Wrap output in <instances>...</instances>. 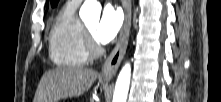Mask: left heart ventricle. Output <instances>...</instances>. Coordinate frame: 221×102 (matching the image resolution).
Listing matches in <instances>:
<instances>
[{
    "mask_svg": "<svg viewBox=\"0 0 221 102\" xmlns=\"http://www.w3.org/2000/svg\"><path fill=\"white\" fill-rule=\"evenodd\" d=\"M87 28L91 31V33L93 34L96 28V22H92L87 24Z\"/></svg>",
    "mask_w": 221,
    "mask_h": 102,
    "instance_id": "obj_1",
    "label": "left heart ventricle"
}]
</instances>
